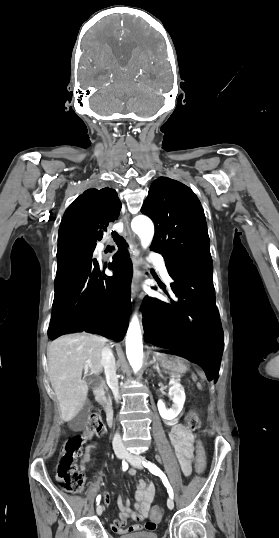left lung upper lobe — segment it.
<instances>
[{
	"mask_svg": "<svg viewBox=\"0 0 279 538\" xmlns=\"http://www.w3.org/2000/svg\"><path fill=\"white\" fill-rule=\"evenodd\" d=\"M141 212L155 224L151 249L169 264L212 265L210 241L200 201L186 185L167 177L156 179Z\"/></svg>",
	"mask_w": 279,
	"mask_h": 538,
	"instance_id": "1",
	"label": "left lung upper lobe"
}]
</instances>
